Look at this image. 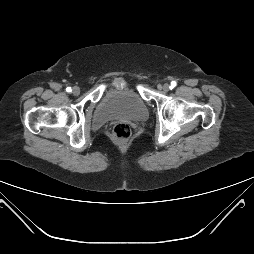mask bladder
Masks as SVG:
<instances>
[{
	"label": "bladder",
	"instance_id": "1",
	"mask_svg": "<svg viewBox=\"0 0 254 254\" xmlns=\"http://www.w3.org/2000/svg\"><path fill=\"white\" fill-rule=\"evenodd\" d=\"M147 117L148 108L140 95L124 87L110 90L102 97L95 113V122L102 125L117 119L144 121Z\"/></svg>",
	"mask_w": 254,
	"mask_h": 254
}]
</instances>
